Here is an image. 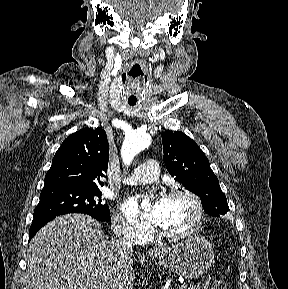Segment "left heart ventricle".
<instances>
[{
  "mask_svg": "<svg viewBox=\"0 0 288 289\" xmlns=\"http://www.w3.org/2000/svg\"><path fill=\"white\" fill-rule=\"evenodd\" d=\"M195 217V208L192 202L185 197L163 199L161 228L178 232L187 229Z\"/></svg>",
  "mask_w": 288,
  "mask_h": 289,
  "instance_id": "left-heart-ventricle-1",
  "label": "left heart ventricle"
}]
</instances>
